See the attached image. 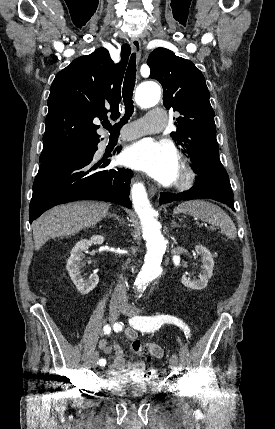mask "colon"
<instances>
[{
    "label": "colon",
    "mask_w": 275,
    "mask_h": 429,
    "mask_svg": "<svg viewBox=\"0 0 275 429\" xmlns=\"http://www.w3.org/2000/svg\"><path fill=\"white\" fill-rule=\"evenodd\" d=\"M132 349L134 350V352H136L137 354L141 355L143 354V349L141 348L140 344L138 342H135L132 346ZM154 374V370L149 367L146 371V376H152Z\"/></svg>",
    "instance_id": "5ec220e1"
}]
</instances>
